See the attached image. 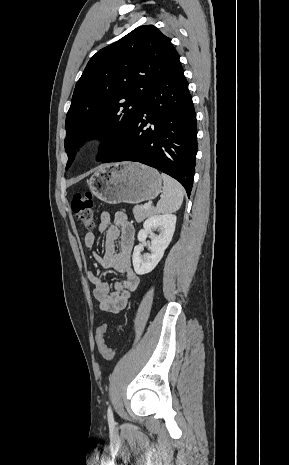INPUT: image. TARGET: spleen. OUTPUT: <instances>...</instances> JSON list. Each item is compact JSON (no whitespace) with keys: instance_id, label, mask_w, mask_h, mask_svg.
Returning a JSON list of instances; mask_svg holds the SVG:
<instances>
[{"instance_id":"1","label":"spleen","mask_w":289,"mask_h":465,"mask_svg":"<svg viewBox=\"0 0 289 465\" xmlns=\"http://www.w3.org/2000/svg\"><path fill=\"white\" fill-rule=\"evenodd\" d=\"M163 195L157 203L156 211L158 213L176 212L182 205L184 198V189L182 185L172 177L162 173Z\"/></svg>"}]
</instances>
